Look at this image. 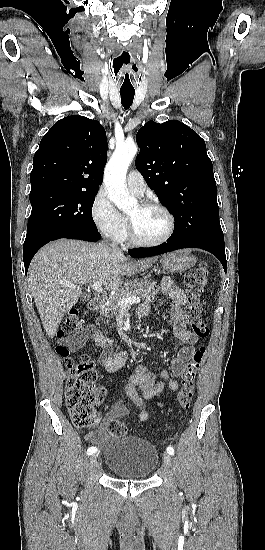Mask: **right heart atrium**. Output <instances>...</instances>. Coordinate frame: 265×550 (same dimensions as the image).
<instances>
[{
  "mask_svg": "<svg viewBox=\"0 0 265 550\" xmlns=\"http://www.w3.org/2000/svg\"><path fill=\"white\" fill-rule=\"evenodd\" d=\"M90 214L93 224L103 236L113 240L123 239L127 232L126 220L103 189L94 196Z\"/></svg>",
  "mask_w": 265,
  "mask_h": 550,
  "instance_id": "1",
  "label": "right heart atrium"
}]
</instances>
